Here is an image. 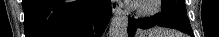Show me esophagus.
<instances>
[{
  "instance_id": "34e87169",
  "label": "esophagus",
  "mask_w": 219,
  "mask_h": 37,
  "mask_svg": "<svg viewBox=\"0 0 219 37\" xmlns=\"http://www.w3.org/2000/svg\"><path fill=\"white\" fill-rule=\"evenodd\" d=\"M111 5H112L113 13H115L122 6V4L119 0H111Z\"/></svg>"
}]
</instances>
